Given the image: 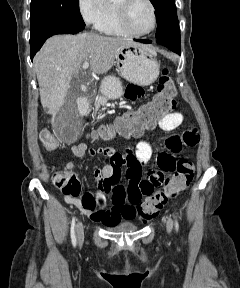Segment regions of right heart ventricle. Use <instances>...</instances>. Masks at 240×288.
I'll return each instance as SVG.
<instances>
[{
    "mask_svg": "<svg viewBox=\"0 0 240 288\" xmlns=\"http://www.w3.org/2000/svg\"><path fill=\"white\" fill-rule=\"evenodd\" d=\"M99 29L107 34L127 35L118 22L117 11L114 4H111V12L108 18L100 25Z\"/></svg>",
    "mask_w": 240,
    "mask_h": 288,
    "instance_id": "obj_1",
    "label": "right heart ventricle"
}]
</instances>
